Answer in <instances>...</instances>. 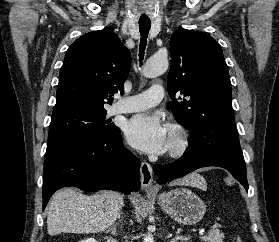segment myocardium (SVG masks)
Instances as JSON below:
<instances>
[{
    "label": "myocardium",
    "instance_id": "myocardium-1",
    "mask_svg": "<svg viewBox=\"0 0 279 242\" xmlns=\"http://www.w3.org/2000/svg\"><path fill=\"white\" fill-rule=\"evenodd\" d=\"M172 133V143L168 148V155L171 158L182 157L189 149L191 143V135L188 129L180 123H170L168 125Z\"/></svg>",
    "mask_w": 279,
    "mask_h": 242
}]
</instances>
